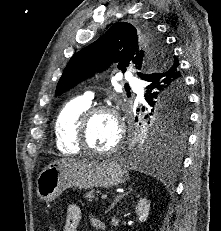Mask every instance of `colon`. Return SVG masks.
<instances>
[{
	"label": "colon",
	"mask_w": 221,
	"mask_h": 231,
	"mask_svg": "<svg viewBox=\"0 0 221 231\" xmlns=\"http://www.w3.org/2000/svg\"><path fill=\"white\" fill-rule=\"evenodd\" d=\"M46 231H57V228L54 224H49Z\"/></svg>",
	"instance_id": "5ec220e1"
}]
</instances>
